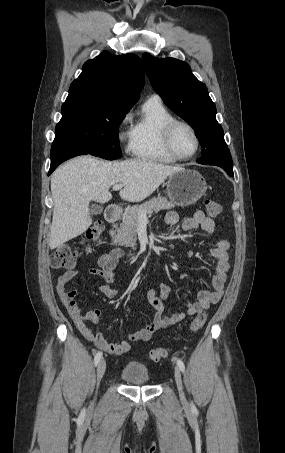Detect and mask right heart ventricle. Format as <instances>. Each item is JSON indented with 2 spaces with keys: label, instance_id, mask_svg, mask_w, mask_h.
I'll use <instances>...</instances> for the list:
<instances>
[{
  "label": "right heart ventricle",
  "instance_id": "right-heart-ventricle-1",
  "mask_svg": "<svg viewBox=\"0 0 285 453\" xmlns=\"http://www.w3.org/2000/svg\"><path fill=\"white\" fill-rule=\"evenodd\" d=\"M171 112L158 99H148L129 131V151L139 159L174 163L178 159L170 155L163 144V129L174 120Z\"/></svg>",
  "mask_w": 285,
  "mask_h": 453
}]
</instances>
